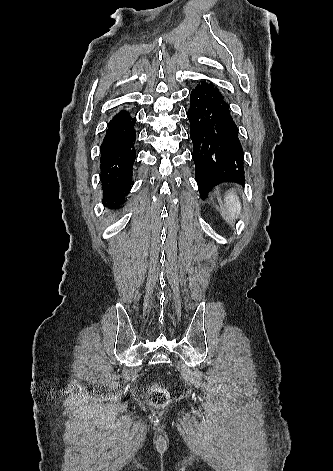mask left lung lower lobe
<instances>
[{"mask_svg":"<svg viewBox=\"0 0 333 471\" xmlns=\"http://www.w3.org/2000/svg\"><path fill=\"white\" fill-rule=\"evenodd\" d=\"M190 138L195 178L201 197L216 185L244 183L243 150L238 128L219 90L202 81L191 91Z\"/></svg>","mask_w":333,"mask_h":471,"instance_id":"1","label":"left lung lower lobe"}]
</instances>
